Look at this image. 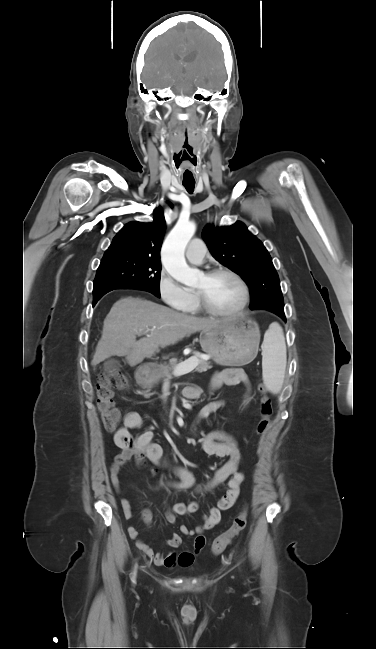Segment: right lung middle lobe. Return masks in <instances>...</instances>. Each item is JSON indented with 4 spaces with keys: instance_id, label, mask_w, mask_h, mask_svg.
Returning <instances> with one entry per match:
<instances>
[{
    "instance_id": "right-lung-middle-lobe-1",
    "label": "right lung middle lobe",
    "mask_w": 376,
    "mask_h": 649,
    "mask_svg": "<svg viewBox=\"0 0 376 649\" xmlns=\"http://www.w3.org/2000/svg\"><path fill=\"white\" fill-rule=\"evenodd\" d=\"M160 275V258L130 253L104 255L94 280L93 299L103 291L120 288L160 297Z\"/></svg>"
}]
</instances>
